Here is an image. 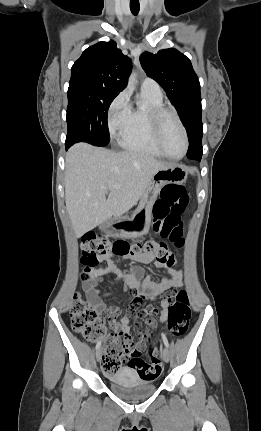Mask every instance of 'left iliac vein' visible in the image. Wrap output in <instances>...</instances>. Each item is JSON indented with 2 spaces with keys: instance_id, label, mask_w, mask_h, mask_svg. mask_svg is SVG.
I'll return each instance as SVG.
<instances>
[{
  "instance_id": "1",
  "label": "left iliac vein",
  "mask_w": 261,
  "mask_h": 431,
  "mask_svg": "<svg viewBox=\"0 0 261 431\" xmlns=\"http://www.w3.org/2000/svg\"><path fill=\"white\" fill-rule=\"evenodd\" d=\"M162 353H163L164 361L166 363H168L170 361V358H171L169 350L167 348H163Z\"/></svg>"
}]
</instances>
